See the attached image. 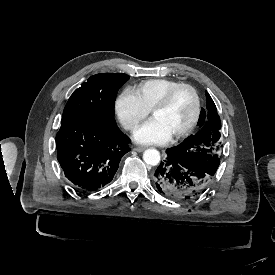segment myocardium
Returning <instances> with one entry per match:
<instances>
[{"label": "myocardium", "mask_w": 275, "mask_h": 275, "mask_svg": "<svg viewBox=\"0 0 275 275\" xmlns=\"http://www.w3.org/2000/svg\"><path fill=\"white\" fill-rule=\"evenodd\" d=\"M180 88H188L192 92V94L194 96V100H195V110H194L193 117H192L191 121L188 123V125L180 132L171 136L169 138L170 141H175V140L184 138L185 136L189 135L191 133V131L194 129V127L196 126V124L200 118V114H201V100H200V96H199L197 89L190 83L182 82V83H177L166 90V92L163 94V96L159 99V101L152 108L151 116L153 117V115L156 112L164 109L169 104L173 94Z\"/></svg>", "instance_id": "f54148a6"}]
</instances>
